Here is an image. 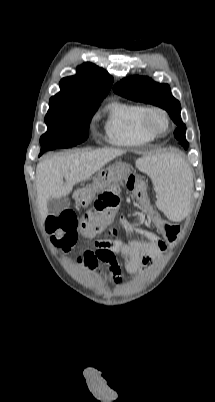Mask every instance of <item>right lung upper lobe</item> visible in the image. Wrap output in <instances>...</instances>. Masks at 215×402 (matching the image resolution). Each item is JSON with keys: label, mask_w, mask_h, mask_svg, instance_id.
<instances>
[{"label": "right lung upper lobe", "mask_w": 215, "mask_h": 402, "mask_svg": "<svg viewBox=\"0 0 215 402\" xmlns=\"http://www.w3.org/2000/svg\"><path fill=\"white\" fill-rule=\"evenodd\" d=\"M112 83V76L104 69L87 62L77 68L75 76L65 77L60 81L61 91L50 100L104 98Z\"/></svg>", "instance_id": "right-lung-upper-lobe-1"}]
</instances>
